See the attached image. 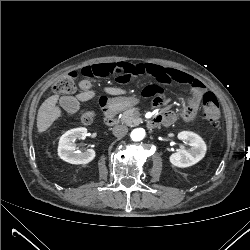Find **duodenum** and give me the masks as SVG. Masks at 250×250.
<instances>
[{
	"instance_id": "410a0bca",
	"label": "duodenum",
	"mask_w": 250,
	"mask_h": 250,
	"mask_svg": "<svg viewBox=\"0 0 250 250\" xmlns=\"http://www.w3.org/2000/svg\"><path fill=\"white\" fill-rule=\"evenodd\" d=\"M101 107L104 113V122L107 125H113L115 123V117L118 114V111L112 107L106 100L101 101ZM161 119L158 116H152L148 119V126L155 128L159 126Z\"/></svg>"
}]
</instances>
